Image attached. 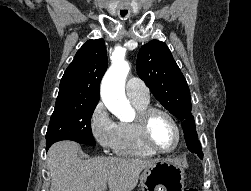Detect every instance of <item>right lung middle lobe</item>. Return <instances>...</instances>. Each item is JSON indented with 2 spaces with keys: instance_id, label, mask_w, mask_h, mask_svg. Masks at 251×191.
Wrapping results in <instances>:
<instances>
[{
  "instance_id": "obj_1",
  "label": "right lung middle lobe",
  "mask_w": 251,
  "mask_h": 191,
  "mask_svg": "<svg viewBox=\"0 0 251 191\" xmlns=\"http://www.w3.org/2000/svg\"><path fill=\"white\" fill-rule=\"evenodd\" d=\"M96 105L97 103L55 107L46 133V149L60 140L95 145L90 120Z\"/></svg>"
}]
</instances>
